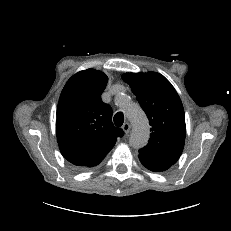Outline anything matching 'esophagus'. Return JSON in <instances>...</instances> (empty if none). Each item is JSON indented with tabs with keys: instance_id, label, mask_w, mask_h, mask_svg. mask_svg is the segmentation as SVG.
Instances as JSON below:
<instances>
[{
	"instance_id": "1",
	"label": "esophagus",
	"mask_w": 231,
	"mask_h": 231,
	"mask_svg": "<svg viewBox=\"0 0 231 231\" xmlns=\"http://www.w3.org/2000/svg\"><path fill=\"white\" fill-rule=\"evenodd\" d=\"M122 129L125 132V134H128L130 132L131 126L128 122H126L123 124Z\"/></svg>"
}]
</instances>
